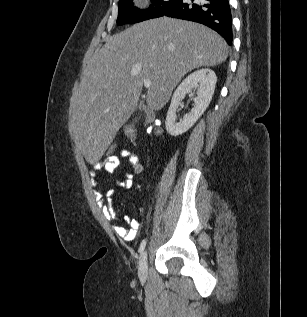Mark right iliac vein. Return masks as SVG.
Masks as SVG:
<instances>
[{
    "label": "right iliac vein",
    "instance_id": "right-iliac-vein-1",
    "mask_svg": "<svg viewBox=\"0 0 307 317\" xmlns=\"http://www.w3.org/2000/svg\"><path fill=\"white\" fill-rule=\"evenodd\" d=\"M138 277L141 282H145L148 277V258L147 253H142L138 267Z\"/></svg>",
    "mask_w": 307,
    "mask_h": 317
}]
</instances>
